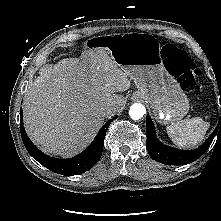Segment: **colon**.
<instances>
[{
	"label": "colon",
	"instance_id": "1",
	"mask_svg": "<svg viewBox=\"0 0 221 221\" xmlns=\"http://www.w3.org/2000/svg\"><path fill=\"white\" fill-rule=\"evenodd\" d=\"M162 53L166 59L168 72L176 78L181 89L187 93L193 92L200 71L192 58L186 52L172 46H165Z\"/></svg>",
	"mask_w": 221,
	"mask_h": 221
}]
</instances>
